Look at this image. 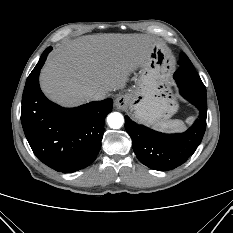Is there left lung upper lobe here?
I'll use <instances>...</instances> for the list:
<instances>
[{
	"label": "left lung upper lobe",
	"instance_id": "5c2ea615",
	"mask_svg": "<svg viewBox=\"0 0 233 233\" xmlns=\"http://www.w3.org/2000/svg\"><path fill=\"white\" fill-rule=\"evenodd\" d=\"M184 71H186L187 73H181L182 71H176L174 76L176 78L177 77V74H180L181 78L183 79L184 82H186L187 84L189 85H193V86H196V87H205L203 82L201 81L200 77L198 76L195 68L193 67L191 61L189 60L188 62V66H187V69H185Z\"/></svg>",
	"mask_w": 233,
	"mask_h": 233
}]
</instances>
